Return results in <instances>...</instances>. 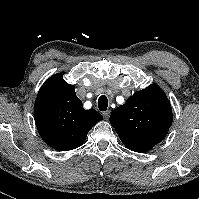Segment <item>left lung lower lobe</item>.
Instances as JSON below:
<instances>
[{"label": "left lung lower lobe", "instance_id": "left-lung-lower-lobe-1", "mask_svg": "<svg viewBox=\"0 0 199 199\" xmlns=\"http://www.w3.org/2000/svg\"><path fill=\"white\" fill-rule=\"evenodd\" d=\"M119 137L128 149L135 152L143 153L150 150L151 148L155 146L154 144L137 140L128 136L119 135Z\"/></svg>", "mask_w": 199, "mask_h": 199}]
</instances>
